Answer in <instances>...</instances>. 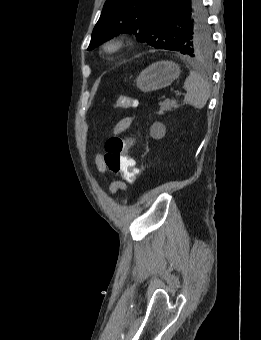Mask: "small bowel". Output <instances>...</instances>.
I'll return each mask as SVG.
<instances>
[{
  "label": "small bowel",
  "mask_w": 261,
  "mask_h": 340,
  "mask_svg": "<svg viewBox=\"0 0 261 340\" xmlns=\"http://www.w3.org/2000/svg\"><path fill=\"white\" fill-rule=\"evenodd\" d=\"M132 124V118L131 117H125L121 119L115 126L114 132L115 133H121L126 131ZM95 164L97 166V169L100 173H105L107 170L106 164L104 162L103 155L97 154L95 156ZM126 183L123 181H114L110 185V191L111 193H117L120 190L126 189Z\"/></svg>",
  "instance_id": "1"
}]
</instances>
